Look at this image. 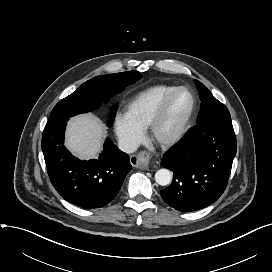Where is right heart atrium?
Instances as JSON below:
<instances>
[{
  "instance_id": "right-heart-atrium-1",
  "label": "right heart atrium",
  "mask_w": 272,
  "mask_h": 272,
  "mask_svg": "<svg viewBox=\"0 0 272 272\" xmlns=\"http://www.w3.org/2000/svg\"><path fill=\"white\" fill-rule=\"evenodd\" d=\"M114 130L120 146L127 152L135 150L144 140V130L136 125L126 113L116 114Z\"/></svg>"
}]
</instances>
